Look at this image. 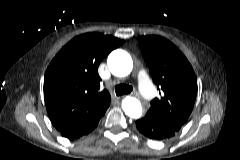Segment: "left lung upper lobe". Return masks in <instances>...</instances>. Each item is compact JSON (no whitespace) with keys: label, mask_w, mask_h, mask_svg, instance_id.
<instances>
[{"label":"left lung upper lobe","mask_w":240,"mask_h":160,"mask_svg":"<svg viewBox=\"0 0 240 160\" xmlns=\"http://www.w3.org/2000/svg\"><path fill=\"white\" fill-rule=\"evenodd\" d=\"M138 43L161 98L151 101L149 112L178 132L188 120L197 96V79L183 53L160 36H140Z\"/></svg>","instance_id":"5c2ea615"}]
</instances>
